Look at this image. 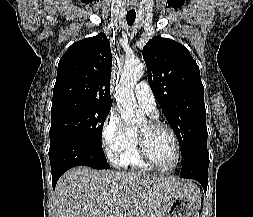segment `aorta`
I'll return each instance as SVG.
<instances>
[{
  "label": "aorta",
  "mask_w": 253,
  "mask_h": 217,
  "mask_svg": "<svg viewBox=\"0 0 253 217\" xmlns=\"http://www.w3.org/2000/svg\"><path fill=\"white\" fill-rule=\"evenodd\" d=\"M144 74V65L140 61L126 62L118 85L115 99L124 124L134 127L145 120L143 111L138 107L134 97V85Z\"/></svg>",
  "instance_id": "1"
}]
</instances>
